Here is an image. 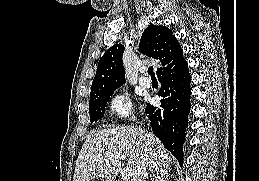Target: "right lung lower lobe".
<instances>
[{
    "label": "right lung lower lobe",
    "instance_id": "right-lung-lower-lobe-1",
    "mask_svg": "<svg viewBox=\"0 0 259 181\" xmlns=\"http://www.w3.org/2000/svg\"><path fill=\"white\" fill-rule=\"evenodd\" d=\"M157 76L161 83L158 95L163 97L161 106L157 108L147 104L145 113L153 133L182 164L191 94V75L183 51L163 66Z\"/></svg>",
    "mask_w": 259,
    "mask_h": 181
}]
</instances>
